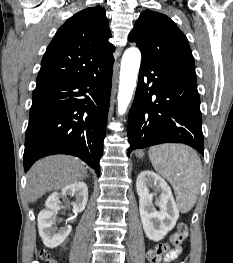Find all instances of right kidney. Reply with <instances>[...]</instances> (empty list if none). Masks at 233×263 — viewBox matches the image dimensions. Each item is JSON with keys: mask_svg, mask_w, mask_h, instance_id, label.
<instances>
[{"mask_svg": "<svg viewBox=\"0 0 233 263\" xmlns=\"http://www.w3.org/2000/svg\"><path fill=\"white\" fill-rule=\"evenodd\" d=\"M67 196L75 198V201L71 203L73 212H82L88 201V187L84 182H76L62 188L61 193L53 192L47 198L45 202L46 209L42 210L38 215V229L44 245L48 248L53 249L61 245L72 230L71 225H67V222L73 220V215H69L65 227L58 229L56 223V215L62 208L60 199L67 198ZM58 222H62V220Z\"/></svg>", "mask_w": 233, "mask_h": 263, "instance_id": "right-kidney-1", "label": "right kidney"}]
</instances>
